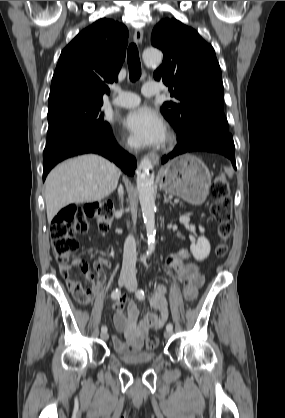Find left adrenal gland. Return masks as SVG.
I'll list each match as a JSON object with an SVG mask.
<instances>
[{
	"label": "left adrenal gland",
	"mask_w": 285,
	"mask_h": 418,
	"mask_svg": "<svg viewBox=\"0 0 285 418\" xmlns=\"http://www.w3.org/2000/svg\"><path fill=\"white\" fill-rule=\"evenodd\" d=\"M164 203H170L172 206H174V203L171 201V199L167 198L166 194L164 195Z\"/></svg>",
	"instance_id": "a2214340"
}]
</instances>
